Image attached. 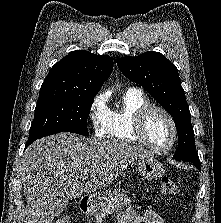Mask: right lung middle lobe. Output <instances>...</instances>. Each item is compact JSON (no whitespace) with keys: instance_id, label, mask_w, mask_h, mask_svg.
Returning a JSON list of instances; mask_svg holds the SVG:
<instances>
[{"instance_id":"1","label":"right lung middle lobe","mask_w":221,"mask_h":223,"mask_svg":"<svg viewBox=\"0 0 221 223\" xmlns=\"http://www.w3.org/2000/svg\"><path fill=\"white\" fill-rule=\"evenodd\" d=\"M94 97L75 96L38 101L28 142L59 132L89 136L87 119Z\"/></svg>"}]
</instances>
